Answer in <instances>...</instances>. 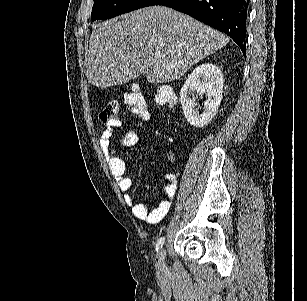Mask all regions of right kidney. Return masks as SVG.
<instances>
[{
  "label": "right kidney",
  "instance_id": "ca27d5eb",
  "mask_svg": "<svg viewBox=\"0 0 307 301\" xmlns=\"http://www.w3.org/2000/svg\"><path fill=\"white\" fill-rule=\"evenodd\" d=\"M224 84L221 68L212 62H203L188 74L180 92V102L182 104L186 120L193 126H206L218 112L222 100V88ZM206 92L208 98L204 100L202 112L195 108V98L198 94Z\"/></svg>",
  "mask_w": 307,
  "mask_h": 301
}]
</instances>
